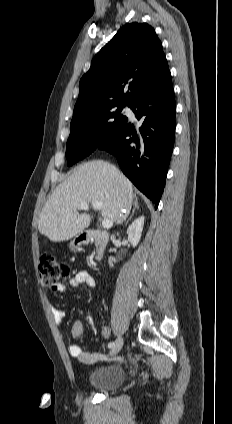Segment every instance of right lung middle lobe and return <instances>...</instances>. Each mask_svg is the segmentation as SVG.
<instances>
[{"instance_id":"1","label":"right lung middle lobe","mask_w":232,"mask_h":424,"mask_svg":"<svg viewBox=\"0 0 232 424\" xmlns=\"http://www.w3.org/2000/svg\"><path fill=\"white\" fill-rule=\"evenodd\" d=\"M125 105L93 108L72 118L67 140L68 166L91 154L105 140L114 135L128 122L121 114Z\"/></svg>"}]
</instances>
